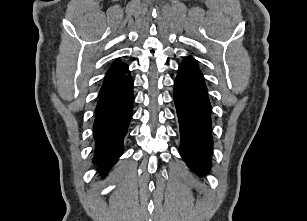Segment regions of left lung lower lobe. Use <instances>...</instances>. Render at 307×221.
I'll list each match as a JSON object with an SVG mask.
<instances>
[{"label": "left lung lower lobe", "instance_id": "1", "mask_svg": "<svg viewBox=\"0 0 307 221\" xmlns=\"http://www.w3.org/2000/svg\"><path fill=\"white\" fill-rule=\"evenodd\" d=\"M180 124V155L192 170L205 174L211 163V105L204 77L194 58L185 57L174 84Z\"/></svg>", "mask_w": 307, "mask_h": 221}]
</instances>
